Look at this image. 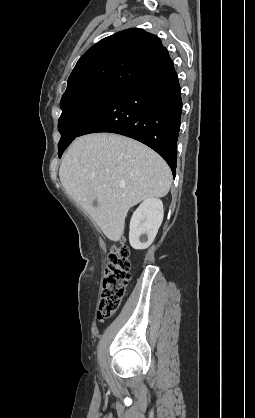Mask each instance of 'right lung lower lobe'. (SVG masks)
<instances>
[{"label": "right lung lower lobe", "mask_w": 255, "mask_h": 418, "mask_svg": "<svg viewBox=\"0 0 255 418\" xmlns=\"http://www.w3.org/2000/svg\"><path fill=\"white\" fill-rule=\"evenodd\" d=\"M181 113V89L172 65L127 85L78 136L110 132L136 139L160 154L175 176Z\"/></svg>", "instance_id": "98d812e1"}]
</instances>
